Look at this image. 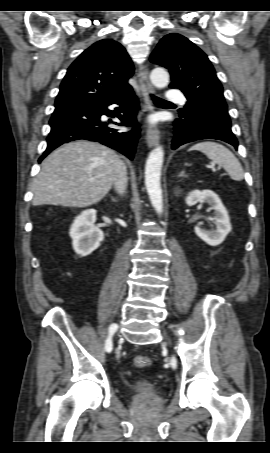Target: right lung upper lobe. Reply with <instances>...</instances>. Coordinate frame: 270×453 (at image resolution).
<instances>
[{
	"label": "right lung upper lobe",
	"instance_id": "1",
	"mask_svg": "<svg viewBox=\"0 0 270 453\" xmlns=\"http://www.w3.org/2000/svg\"><path fill=\"white\" fill-rule=\"evenodd\" d=\"M132 61L121 44L103 39L86 49L68 68L55 107L93 103L130 88Z\"/></svg>",
	"mask_w": 270,
	"mask_h": 453
}]
</instances>
